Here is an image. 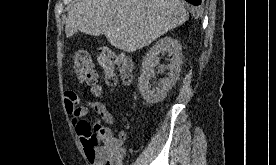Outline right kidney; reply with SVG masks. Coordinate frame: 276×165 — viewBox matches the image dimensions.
<instances>
[{
    "label": "right kidney",
    "mask_w": 276,
    "mask_h": 165,
    "mask_svg": "<svg viewBox=\"0 0 276 165\" xmlns=\"http://www.w3.org/2000/svg\"><path fill=\"white\" fill-rule=\"evenodd\" d=\"M168 53L171 56L169 64L160 66L159 54ZM182 47L172 37H164L157 41L150 51L143 57L142 74L138 80V87L143 99L149 104H155L164 100L167 92L175 85L179 78L182 61ZM159 65L161 71L168 70V76L161 79L158 87L151 90L150 80L154 77V67Z\"/></svg>",
    "instance_id": "ca27d5eb"
}]
</instances>
